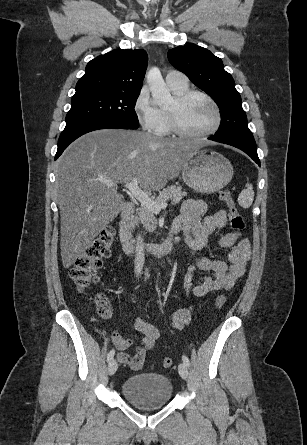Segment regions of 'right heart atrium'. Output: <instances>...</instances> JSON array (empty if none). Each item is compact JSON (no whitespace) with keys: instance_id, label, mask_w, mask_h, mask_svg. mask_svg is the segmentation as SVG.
Here are the masks:
<instances>
[{"instance_id":"d8ad5b80","label":"right heart atrium","mask_w":307,"mask_h":445,"mask_svg":"<svg viewBox=\"0 0 307 445\" xmlns=\"http://www.w3.org/2000/svg\"><path fill=\"white\" fill-rule=\"evenodd\" d=\"M133 114L142 129L157 134L162 127V113L146 88H142L133 102Z\"/></svg>"}]
</instances>
